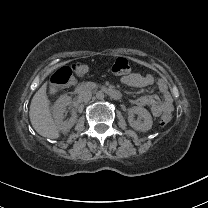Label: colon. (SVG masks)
I'll list each match as a JSON object with an SVG mask.
<instances>
[{"label": "colon", "instance_id": "obj_1", "mask_svg": "<svg viewBox=\"0 0 208 208\" xmlns=\"http://www.w3.org/2000/svg\"><path fill=\"white\" fill-rule=\"evenodd\" d=\"M74 66V65H73ZM112 73L116 75H124L130 71V65L126 58L118 57L111 67ZM171 116L169 114H162L158 119V124L160 126H166L170 123Z\"/></svg>", "mask_w": 208, "mask_h": 208}]
</instances>
